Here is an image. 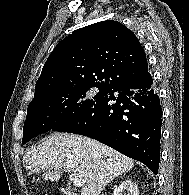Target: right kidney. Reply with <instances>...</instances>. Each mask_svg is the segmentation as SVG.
<instances>
[{
  "label": "right kidney",
  "mask_w": 189,
  "mask_h": 195,
  "mask_svg": "<svg viewBox=\"0 0 189 195\" xmlns=\"http://www.w3.org/2000/svg\"><path fill=\"white\" fill-rule=\"evenodd\" d=\"M125 191L128 195H139L137 184L131 180H125L119 186H116L112 195H123Z\"/></svg>",
  "instance_id": "1"
}]
</instances>
